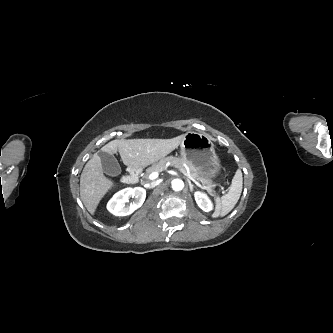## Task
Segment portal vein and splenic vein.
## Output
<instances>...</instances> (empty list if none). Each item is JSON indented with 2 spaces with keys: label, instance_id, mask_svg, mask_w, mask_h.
<instances>
[{
  "label": "portal vein and splenic vein",
  "instance_id": "portal-vein-and-splenic-vein-1",
  "mask_svg": "<svg viewBox=\"0 0 333 333\" xmlns=\"http://www.w3.org/2000/svg\"><path fill=\"white\" fill-rule=\"evenodd\" d=\"M180 172H182L183 174H185L189 179H191L198 187L207 190L208 192H210V189L208 187L202 186L198 181H196L189 172H185L183 169H178ZM159 173L158 172H152L149 176L148 179L149 180H155L156 178H158Z\"/></svg>",
  "mask_w": 333,
  "mask_h": 333
}]
</instances>
